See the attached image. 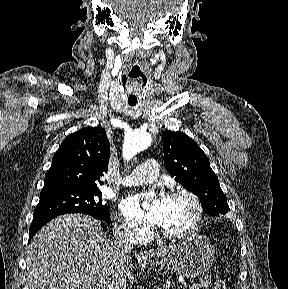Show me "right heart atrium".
<instances>
[{
  "label": "right heart atrium",
  "mask_w": 288,
  "mask_h": 289,
  "mask_svg": "<svg viewBox=\"0 0 288 289\" xmlns=\"http://www.w3.org/2000/svg\"><path fill=\"white\" fill-rule=\"evenodd\" d=\"M114 227L121 237L133 243L145 241L150 232L148 226L122 215L114 218Z\"/></svg>",
  "instance_id": "1"
}]
</instances>
